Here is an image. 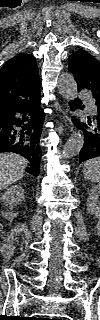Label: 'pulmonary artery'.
Listing matches in <instances>:
<instances>
[{
	"mask_svg": "<svg viewBox=\"0 0 100 320\" xmlns=\"http://www.w3.org/2000/svg\"><path fill=\"white\" fill-rule=\"evenodd\" d=\"M80 97L85 99L87 102H88V107H89V110L92 114L95 113V106L93 105V103L91 102V97L90 95L86 94V93H81L80 94Z\"/></svg>",
	"mask_w": 100,
	"mask_h": 320,
	"instance_id": "e3ab8cb5",
	"label": "pulmonary artery"
}]
</instances>
